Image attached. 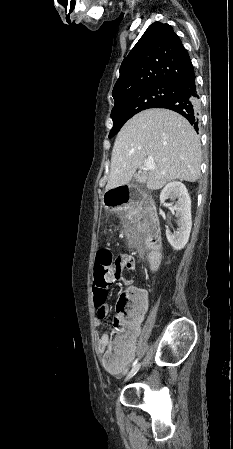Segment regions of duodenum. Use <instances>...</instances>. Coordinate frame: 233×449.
Masks as SVG:
<instances>
[{"label": "duodenum", "instance_id": "410a0bca", "mask_svg": "<svg viewBox=\"0 0 233 449\" xmlns=\"http://www.w3.org/2000/svg\"><path fill=\"white\" fill-rule=\"evenodd\" d=\"M105 206H126L129 213H133L135 206H140L138 219L145 233L147 244L152 248L149 264L152 270L160 262V230L153 200L145 193L138 192L134 186H110L104 192Z\"/></svg>", "mask_w": 233, "mask_h": 449}]
</instances>
